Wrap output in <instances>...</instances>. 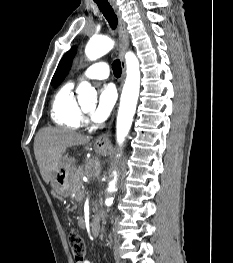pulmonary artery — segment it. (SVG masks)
<instances>
[{
    "label": "pulmonary artery",
    "mask_w": 233,
    "mask_h": 263,
    "mask_svg": "<svg viewBox=\"0 0 233 263\" xmlns=\"http://www.w3.org/2000/svg\"><path fill=\"white\" fill-rule=\"evenodd\" d=\"M109 65L104 61L96 62L87 67L79 79H106L109 76Z\"/></svg>",
    "instance_id": "obj_1"
}]
</instances>
